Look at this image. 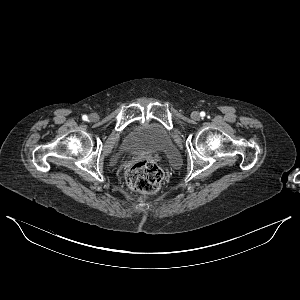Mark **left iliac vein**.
Returning a JSON list of instances; mask_svg holds the SVG:
<instances>
[{"label": "left iliac vein", "instance_id": "1", "mask_svg": "<svg viewBox=\"0 0 300 300\" xmlns=\"http://www.w3.org/2000/svg\"><path fill=\"white\" fill-rule=\"evenodd\" d=\"M191 119L194 120V121H198V120L200 119V114H199V112L193 111V112L191 113Z\"/></svg>", "mask_w": 300, "mask_h": 300}]
</instances>
